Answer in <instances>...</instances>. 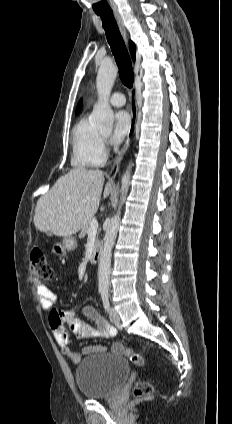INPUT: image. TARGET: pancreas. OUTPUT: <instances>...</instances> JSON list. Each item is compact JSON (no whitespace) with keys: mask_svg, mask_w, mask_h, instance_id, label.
Returning <instances> with one entry per match:
<instances>
[{"mask_svg":"<svg viewBox=\"0 0 232 424\" xmlns=\"http://www.w3.org/2000/svg\"><path fill=\"white\" fill-rule=\"evenodd\" d=\"M93 219H95V218L90 219V220L87 222L86 226L82 229V231H81V233H80V237H81V238L85 237V235L89 233V228H90V226H91V221H92Z\"/></svg>","mask_w":232,"mask_h":424,"instance_id":"obj_1","label":"pancreas"}]
</instances>
